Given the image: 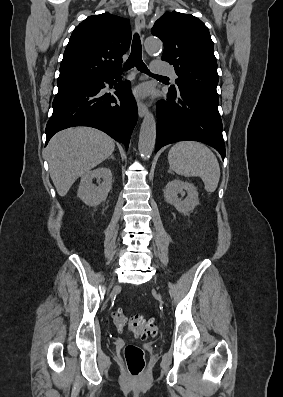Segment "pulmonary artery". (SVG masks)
Segmentation results:
<instances>
[{"label": "pulmonary artery", "mask_w": 283, "mask_h": 397, "mask_svg": "<svg viewBox=\"0 0 283 397\" xmlns=\"http://www.w3.org/2000/svg\"><path fill=\"white\" fill-rule=\"evenodd\" d=\"M152 70L157 74L171 75L173 78H176L174 70L159 60L153 62Z\"/></svg>", "instance_id": "pulmonary-artery-1"}]
</instances>
